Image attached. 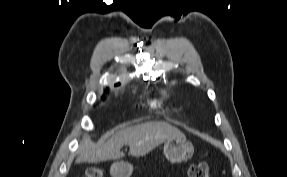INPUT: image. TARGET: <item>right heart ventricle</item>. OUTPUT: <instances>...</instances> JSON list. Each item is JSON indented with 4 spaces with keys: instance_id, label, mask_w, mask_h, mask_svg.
<instances>
[{
    "instance_id": "e07e8e85",
    "label": "right heart ventricle",
    "mask_w": 287,
    "mask_h": 177,
    "mask_svg": "<svg viewBox=\"0 0 287 177\" xmlns=\"http://www.w3.org/2000/svg\"><path fill=\"white\" fill-rule=\"evenodd\" d=\"M171 99V92L168 90L162 91L159 98H156L150 102L151 107L153 108H163L168 101Z\"/></svg>"
}]
</instances>
